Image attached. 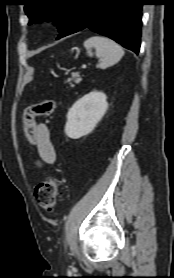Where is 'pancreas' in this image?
Masks as SVG:
<instances>
[{"mask_svg": "<svg viewBox=\"0 0 174 278\" xmlns=\"http://www.w3.org/2000/svg\"><path fill=\"white\" fill-rule=\"evenodd\" d=\"M81 80L82 78L80 77V75L78 73H74L72 74V78L67 79V82L72 85V81H74L75 83H79Z\"/></svg>", "mask_w": 174, "mask_h": 278, "instance_id": "pancreas-1", "label": "pancreas"}]
</instances>
